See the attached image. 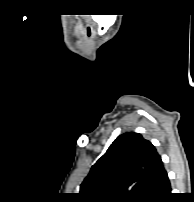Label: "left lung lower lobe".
<instances>
[{
  "mask_svg": "<svg viewBox=\"0 0 194 202\" xmlns=\"http://www.w3.org/2000/svg\"><path fill=\"white\" fill-rule=\"evenodd\" d=\"M171 196V186L167 172L165 171L161 177L160 184L155 193V197L151 202H168Z\"/></svg>",
  "mask_w": 194,
  "mask_h": 202,
  "instance_id": "obj_1",
  "label": "left lung lower lobe"
}]
</instances>
